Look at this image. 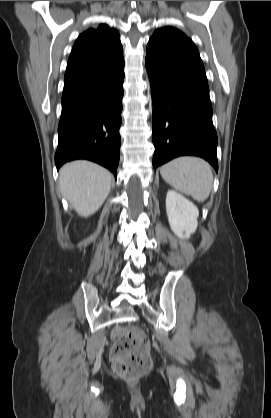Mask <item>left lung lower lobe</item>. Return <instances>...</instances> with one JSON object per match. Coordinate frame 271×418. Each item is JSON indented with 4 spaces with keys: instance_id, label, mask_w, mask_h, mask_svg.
Returning <instances> with one entry per match:
<instances>
[{
    "instance_id": "0a47b994",
    "label": "left lung lower lobe",
    "mask_w": 271,
    "mask_h": 418,
    "mask_svg": "<svg viewBox=\"0 0 271 418\" xmlns=\"http://www.w3.org/2000/svg\"><path fill=\"white\" fill-rule=\"evenodd\" d=\"M145 63L154 104L153 167L178 156L195 155L217 171V134L204 67L152 40Z\"/></svg>"
}]
</instances>
